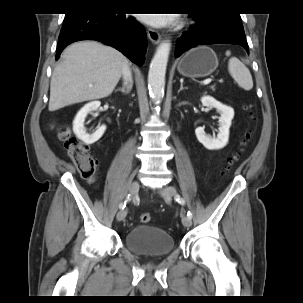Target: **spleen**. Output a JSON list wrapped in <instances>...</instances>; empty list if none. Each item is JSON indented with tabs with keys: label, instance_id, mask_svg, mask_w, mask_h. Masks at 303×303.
<instances>
[{
	"label": "spleen",
	"instance_id": "3e777b00",
	"mask_svg": "<svg viewBox=\"0 0 303 303\" xmlns=\"http://www.w3.org/2000/svg\"><path fill=\"white\" fill-rule=\"evenodd\" d=\"M228 71L238 85L246 91L253 88V80L249 69L236 57L228 62Z\"/></svg>",
	"mask_w": 303,
	"mask_h": 303
}]
</instances>
